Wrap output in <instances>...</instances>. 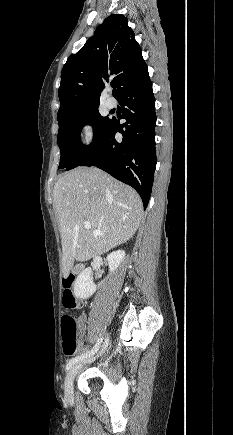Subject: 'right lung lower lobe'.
I'll return each instance as SVG.
<instances>
[{"mask_svg":"<svg viewBox=\"0 0 233 435\" xmlns=\"http://www.w3.org/2000/svg\"><path fill=\"white\" fill-rule=\"evenodd\" d=\"M124 124L113 118L105 135L79 166H97L132 186L146 209L156 168L155 98L149 74L126 85L117 98ZM120 132L122 142L115 139Z\"/></svg>","mask_w":233,"mask_h":435,"instance_id":"1","label":"right lung lower lobe"}]
</instances>
